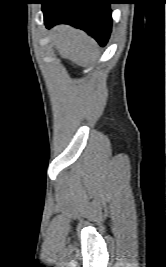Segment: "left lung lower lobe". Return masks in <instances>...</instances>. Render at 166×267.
Instances as JSON below:
<instances>
[{"label":"left lung lower lobe","instance_id":"0a47b994","mask_svg":"<svg viewBox=\"0 0 166 267\" xmlns=\"http://www.w3.org/2000/svg\"><path fill=\"white\" fill-rule=\"evenodd\" d=\"M47 28L60 23L86 31L105 46L111 32L112 0H41Z\"/></svg>","mask_w":166,"mask_h":267}]
</instances>
